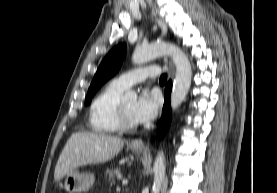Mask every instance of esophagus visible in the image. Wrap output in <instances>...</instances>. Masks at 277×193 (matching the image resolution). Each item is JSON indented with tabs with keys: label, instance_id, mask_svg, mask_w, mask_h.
Wrapping results in <instances>:
<instances>
[{
	"label": "esophagus",
	"instance_id": "esophagus-1",
	"mask_svg": "<svg viewBox=\"0 0 277 193\" xmlns=\"http://www.w3.org/2000/svg\"><path fill=\"white\" fill-rule=\"evenodd\" d=\"M167 62H168V76H169V80L171 81L174 78L175 70H174V66H173V63L171 62V60H167ZM131 144L135 147H140V148L145 147V144H144L142 138L133 140L131 142Z\"/></svg>",
	"mask_w": 277,
	"mask_h": 193
}]
</instances>
